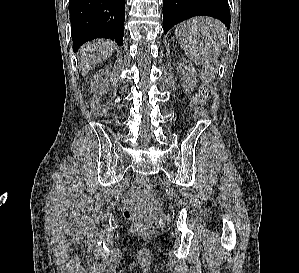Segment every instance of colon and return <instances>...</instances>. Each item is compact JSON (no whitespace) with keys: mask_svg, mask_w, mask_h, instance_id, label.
<instances>
[{"mask_svg":"<svg viewBox=\"0 0 299 273\" xmlns=\"http://www.w3.org/2000/svg\"><path fill=\"white\" fill-rule=\"evenodd\" d=\"M202 79L203 83L201 84L198 93L195 95L193 99V104L195 106L202 105L206 101H208L212 94H213V89L211 86V81L214 76V72L212 67L206 66L202 69ZM142 187L146 190L149 191L150 187L147 181H143ZM124 216L126 218H131L133 216V208L128 207L124 210ZM169 219V215H163L160 218V222H165ZM133 231L136 234L139 235H149L154 231V227L151 224L148 223H135L132 227Z\"/></svg>","mask_w":299,"mask_h":273,"instance_id":"1","label":"colon"}]
</instances>
